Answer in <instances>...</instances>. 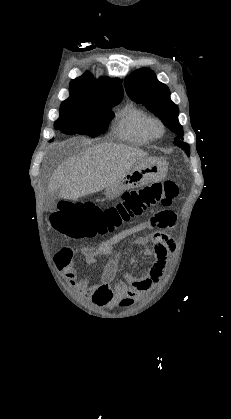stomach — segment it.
<instances>
[{
  "label": "stomach",
  "instance_id": "obj_1",
  "mask_svg": "<svg viewBox=\"0 0 231 419\" xmlns=\"http://www.w3.org/2000/svg\"><path fill=\"white\" fill-rule=\"evenodd\" d=\"M166 174L167 164L163 160L156 157L142 158L114 184L106 188L105 195L111 199L117 198L129 189L161 181L166 177Z\"/></svg>",
  "mask_w": 231,
  "mask_h": 419
}]
</instances>
